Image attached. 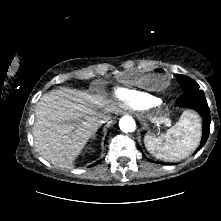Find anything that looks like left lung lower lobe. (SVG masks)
I'll return each instance as SVG.
<instances>
[{
    "instance_id": "left-lung-lower-lobe-1",
    "label": "left lung lower lobe",
    "mask_w": 221,
    "mask_h": 221,
    "mask_svg": "<svg viewBox=\"0 0 221 221\" xmlns=\"http://www.w3.org/2000/svg\"><path fill=\"white\" fill-rule=\"evenodd\" d=\"M178 106L187 107L195 110L203 119V132L200 146L196 150L197 153L206 143L210 132V110L202 90H195L191 92H184L176 101ZM157 163V162H155Z\"/></svg>"
}]
</instances>
